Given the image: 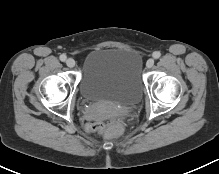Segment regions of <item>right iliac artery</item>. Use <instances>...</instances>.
<instances>
[{"mask_svg": "<svg viewBox=\"0 0 219 174\" xmlns=\"http://www.w3.org/2000/svg\"><path fill=\"white\" fill-rule=\"evenodd\" d=\"M66 58H67V57H66V55H65V54H62V55L60 56V60H61V61H65V60H66Z\"/></svg>", "mask_w": 219, "mask_h": 174, "instance_id": "obj_1", "label": "right iliac artery"}]
</instances>
